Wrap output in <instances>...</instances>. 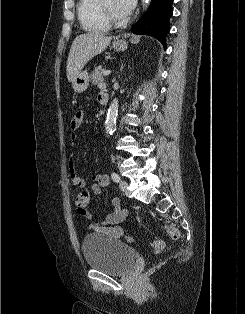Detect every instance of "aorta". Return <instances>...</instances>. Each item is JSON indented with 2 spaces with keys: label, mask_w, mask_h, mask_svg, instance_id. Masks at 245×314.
Here are the masks:
<instances>
[{
  "label": "aorta",
  "mask_w": 245,
  "mask_h": 314,
  "mask_svg": "<svg viewBox=\"0 0 245 314\" xmlns=\"http://www.w3.org/2000/svg\"><path fill=\"white\" fill-rule=\"evenodd\" d=\"M151 0H141L143 9H147L149 6ZM118 100L114 99L109 107L107 118H106V133L108 135H111L114 132L115 124H116V118L118 114Z\"/></svg>",
  "instance_id": "aorta-1"
}]
</instances>
